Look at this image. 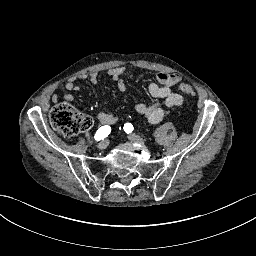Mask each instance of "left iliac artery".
<instances>
[{"instance_id": "left-iliac-artery-1", "label": "left iliac artery", "mask_w": 256, "mask_h": 256, "mask_svg": "<svg viewBox=\"0 0 256 256\" xmlns=\"http://www.w3.org/2000/svg\"><path fill=\"white\" fill-rule=\"evenodd\" d=\"M124 131L126 132V133H131L132 131H133V129H134V127H133V125L131 124V123H126V124H124Z\"/></svg>"}]
</instances>
